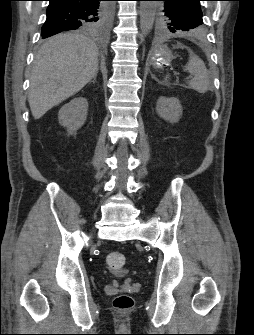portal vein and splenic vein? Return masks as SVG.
Instances as JSON below:
<instances>
[{
  "label": "portal vein and splenic vein",
  "mask_w": 254,
  "mask_h": 335,
  "mask_svg": "<svg viewBox=\"0 0 254 335\" xmlns=\"http://www.w3.org/2000/svg\"><path fill=\"white\" fill-rule=\"evenodd\" d=\"M191 77H192L191 75L188 76V78H191Z\"/></svg>",
  "instance_id": "1"
}]
</instances>
